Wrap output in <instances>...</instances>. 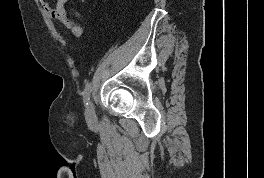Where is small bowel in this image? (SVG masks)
<instances>
[{
    "label": "small bowel",
    "mask_w": 264,
    "mask_h": 178,
    "mask_svg": "<svg viewBox=\"0 0 264 178\" xmlns=\"http://www.w3.org/2000/svg\"><path fill=\"white\" fill-rule=\"evenodd\" d=\"M41 5L44 7L49 17L62 23L68 28L71 33L79 37L83 33V29L80 25L68 18L65 11V3L67 0H57L55 6H50L48 0H39Z\"/></svg>",
    "instance_id": "small-bowel-1"
}]
</instances>
